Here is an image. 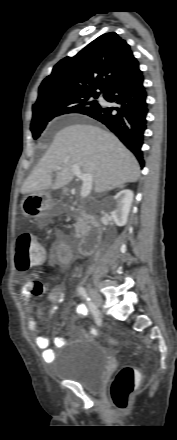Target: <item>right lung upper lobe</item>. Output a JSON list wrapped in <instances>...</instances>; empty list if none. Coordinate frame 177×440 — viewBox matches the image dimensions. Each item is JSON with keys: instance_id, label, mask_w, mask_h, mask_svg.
<instances>
[{"instance_id": "1", "label": "right lung upper lobe", "mask_w": 177, "mask_h": 440, "mask_svg": "<svg viewBox=\"0 0 177 440\" xmlns=\"http://www.w3.org/2000/svg\"><path fill=\"white\" fill-rule=\"evenodd\" d=\"M139 67L130 46L115 32L99 36L73 57L59 61L39 87L33 108L63 96L99 94Z\"/></svg>"}]
</instances>
